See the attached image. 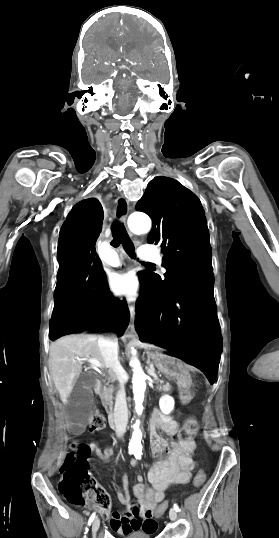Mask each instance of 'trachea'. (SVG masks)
Segmentation results:
<instances>
[{
    "label": "trachea",
    "instance_id": "3493384b",
    "mask_svg": "<svg viewBox=\"0 0 279 538\" xmlns=\"http://www.w3.org/2000/svg\"><path fill=\"white\" fill-rule=\"evenodd\" d=\"M111 228L113 233V240L110 242L111 245L113 247H118L120 244H122L125 252L131 258H136L133 243L130 240L128 233L126 232L124 225L114 221ZM142 263L145 264L144 262Z\"/></svg>",
    "mask_w": 279,
    "mask_h": 538
}]
</instances>
